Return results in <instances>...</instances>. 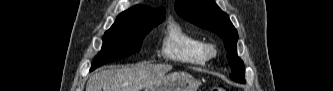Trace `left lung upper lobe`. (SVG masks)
<instances>
[{
    "mask_svg": "<svg viewBox=\"0 0 333 91\" xmlns=\"http://www.w3.org/2000/svg\"><path fill=\"white\" fill-rule=\"evenodd\" d=\"M176 12L185 20L201 28L216 33L224 40L227 58L231 66L230 77L240 83L245 82L244 64L237 55L238 33L229 16L214 0H176Z\"/></svg>",
    "mask_w": 333,
    "mask_h": 91,
    "instance_id": "1",
    "label": "left lung upper lobe"
}]
</instances>
